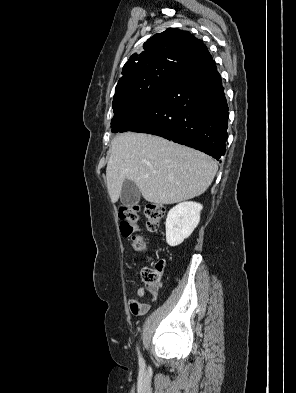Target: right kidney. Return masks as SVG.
<instances>
[{
  "label": "right kidney",
  "mask_w": 296,
  "mask_h": 393,
  "mask_svg": "<svg viewBox=\"0 0 296 393\" xmlns=\"http://www.w3.org/2000/svg\"><path fill=\"white\" fill-rule=\"evenodd\" d=\"M203 206L196 202H182L173 207L166 219V242L171 247L188 238L200 221Z\"/></svg>",
  "instance_id": "right-kidney-1"
}]
</instances>
